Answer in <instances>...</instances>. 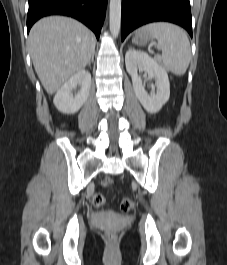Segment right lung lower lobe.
<instances>
[{
  "label": "right lung lower lobe",
  "mask_w": 227,
  "mask_h": 265,
  "mask_svg": "<svg viewBox=\"0 0 227 265\" xmlns=\"http://www.w3.org/2000/svg\"><path fill=\"white\" fill-rule=\"evenodd\" d=\"M106 5L107 0H29L27 30L41 17L59 14L83 22L99 39Z\"/></svg>",
  "instance_id": "obj_1"
}]
</instances>
